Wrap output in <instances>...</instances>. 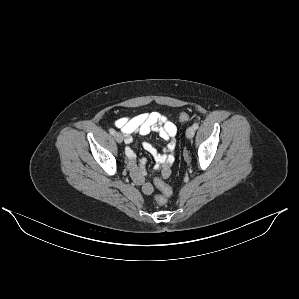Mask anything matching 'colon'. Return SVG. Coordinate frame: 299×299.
Listing matches in <instances>:
<instances>
[{"label":"colon","mask_w":299,"mask_h":299,"mask_svg":"<svg viewBox=\"0 0 299 299\" xmlns=\"http://www.w3.org/2000/svg\"><path fill=\"white\" fill-rule=\"evenodd\" d=\"M188 119H189L188 113L183 112L179 115V121L181 122L187 121ZM158 187L161 190V194L156 196V201L159 205H165L167 203V199L172 194V190L170 186L163 181H160L158 183Z\"/></svg>","instance_id":"5ec220e1"}]
</instances>
